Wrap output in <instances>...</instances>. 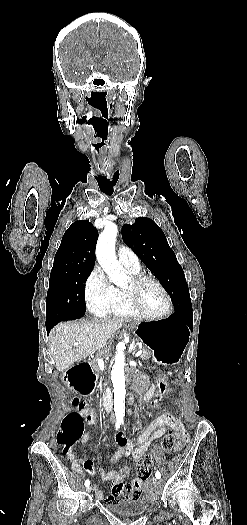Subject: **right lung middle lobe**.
Here are the masks:
<instances>
[{
  "label": "right lung middle lobe",
  "mask_w": 247,
  "mask_h": 525,
  "mask_svg": "<svg viewBox=\"0 0 247 525\" xmlns=\"http://www.w3.org/2000/svg\"><path fill=\"white\" fill-rule=\"evenodd\" d=\"M91 271H51L46 300V327L85 314V282Z\"/></svg>",
  "instance_id": "1"
}]
</instances>
